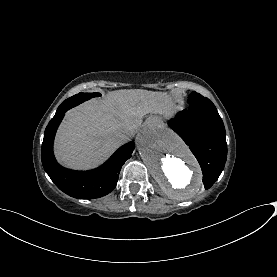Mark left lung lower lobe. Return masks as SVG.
<instances>
[{"instance_id":"0a47b994","label":"left lung lower lobe","mask_w":277,"mask_h":277,"mask_svg":"<svg viewBox=\"0 0 277 277\" xmlns=\"http://www.w3.org/2000/svg\"><path fill=\"white\" fill-rule=\"evenodd\" d=\"M169 126L185 141L197 158L205 189L220 176L227 158L226 132L219 114L181 111Z\"/></svg>"}]
</instances>
